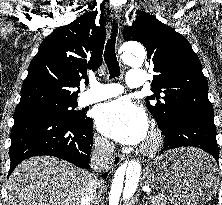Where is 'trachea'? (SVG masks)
I'll list each match as a JSON object with an SVG mask.
<instances>
[{"label":"trachea","instance_id":"3493384b","mask_svg":"<svg viewBox=\"0 0 222 205\" xmlns=\"http://www.w3.org/2000/svg\"><path fill=\"white\" fill-rule=\"evenodd\" d=\"M117 28H118L117 23L114 21L112 23L111 35L106 43L104 51V60L109 71L110 79L120 76V67L117 61L116 51H115L116 36L118 33Z\"/></svg>","mask_w":222,"mask_h":205}]
</instances>
